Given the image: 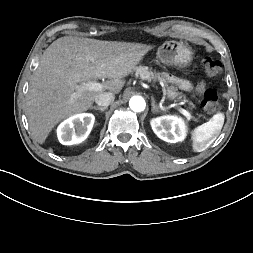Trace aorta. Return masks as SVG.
Here are the masks:
<instances>
[{
	"instance_id": "obj_1",
	"label": "aorta",
	"mask_w": 253,
	"mask_h": 253,
	"mask_svg": "<svg viewBox=\"0 0 253 253\" xmlns=\"http://www.w3.org/2000/svg\"><path fill=\"white\" fill-rule=\"evenodd\" d=\"M129 106L134 112H142L146 107V103L141 96H133L129 101Z\"/></svg>"
}]
</instances>
